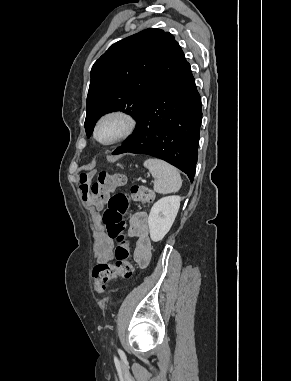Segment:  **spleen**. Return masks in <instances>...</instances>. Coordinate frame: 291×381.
Returning a JSON list of instances; mask_svg holds the SVG:
<instances>
[{
    "mask_svg": "<svg viewBox=\"0 0 291 381\" xmlns=\"http://www.w3.org/2000/svg\"><path fill=\"white\" fill-rule=\"evenodd\" d=\"M144 166L149 169L155 178L154 190L157 193H174L181 188V176L178 170L169 163L160 159L149 158L144 161Z\"/></svg>",
    "mask_w": 291,
    "mask_h": 381,
    "instance_id": "obj_1",
    "label": "spleen"
}]
</instances>
